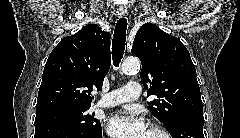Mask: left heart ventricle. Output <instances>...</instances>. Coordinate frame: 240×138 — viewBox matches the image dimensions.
Masks as SVG:
<instances>
[{
	"mask_svg": "<svg viewBox=\"0 0 240 138\" xmlns=\"http://www.w3.org/2000/svg\"><path fill=\"white\" fill-rule=\"evenodd\" d=\"M146 138H162V137L160 134H158L154 131L148 130Z\"/></svg>",
	"mask_w": 240,
	"mask_h": 138,
	"instance_id": "1",
	"label": "left heart ventricle"
}]
</instances>
